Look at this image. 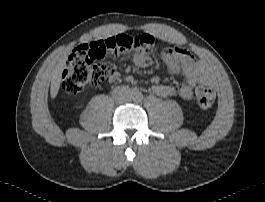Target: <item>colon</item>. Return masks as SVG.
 <instances>
[{"label":"colon","mask_w":265,"mask_h":202,"mask_svg":"<svg viewBox=\"0 0 265 202\" xmlns=\"http://www.w3.org/2000/svg\"><path fill=\"white\" fill-rule=\"evenodd\" d=\"M92 48L101 54H122L132 50H142L146 54L154 51L153 38L147 34L134 37L126 34H115L92 43ZM96 57L90 55H71L62 72L63 89L70 94L81 92L86 86H100L114 81L119 72L115 67L97 64ZM196 98L200 108L207 109L214 105L216 90L211 86H199Z\"/></svg>","instance_id":"5ec220e1"}]
</instances>
